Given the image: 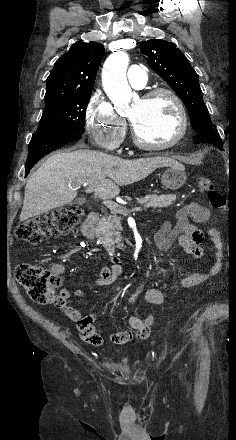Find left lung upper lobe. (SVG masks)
<instances>
[{"label":"left lung upper lobe","instance_id":"5c2ea615","mask_svg":"<svg viewBox=\"0 0 236 440\" xmlns=\"http://www.w3.org/2000/svg\"><path fill=\"white\" fill-rule=\"evenodd\" d=\"M149 57V66L163 78L185 104L193 129L200 132L213 127L208 109L203 102L198 75L175 44L152 39L140 44Z\"/></svg>","mask_w":236,"mask_h":440}]
</instances>
